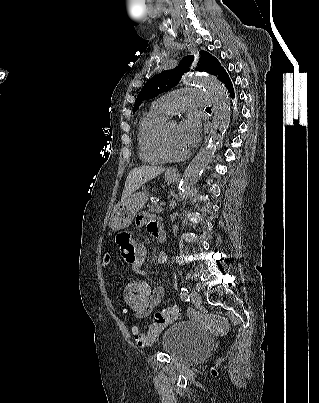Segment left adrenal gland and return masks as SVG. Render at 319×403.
Returning <instances> with one entry per match:
<instances>
[{
    "label": "left adrenal gland",
    "instance_id": "left-adrenal-gland-1",
    "mask_svg": "<svg viewBox=\"0 0 319 403\" xmlns=\"http://www.w3.org/2000/svg\"><path fill=\"white\" fill-rule=\"evenodd\" d=\"M170 206H171L172 209H174V208L176 207L175 201H172L171 204H170Z\"/></svg>",
    "mask_w": 319,
    "mask_h": 403
}]
</instances>
